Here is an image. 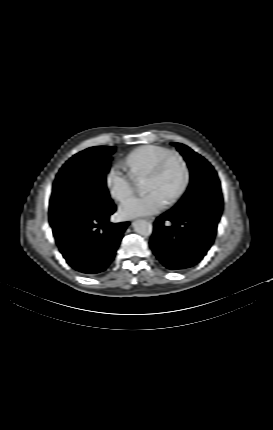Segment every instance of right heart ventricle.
Instances as JSON below:
<instances>
[{
    "mask_svg": "<svg viewBox=\"0 0 273 430\" xmlns=\"http://www.w3.org/2000/svg\"><path fill=\"white\" fill-rule=\"evenodd\" d=\"M170 152V149L163 146L143 145L128 153L123 163L134 178H142L147 176Z\"/></svg>",
    "mask_w": 273,
    "mask_h": 430,
    "instance_id": "obj_1",
    "label": "right heart ventricle"
}]
</instances>
